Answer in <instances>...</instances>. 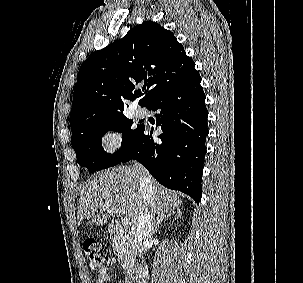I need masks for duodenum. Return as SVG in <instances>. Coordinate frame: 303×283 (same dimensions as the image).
I'll use <instances>...</instances> for the list:
<instances>
[{"label": "duodenum", "instance_id": "410a0bca", "mask_svg": "<svg viewBox=\"0 0 303 283\" xmlns=\"http://www.w3.org/2000/svg\"><path fill=\"white\" fill-rule=\"evenodd\" d=\"M110 231L112 235L118 236L121 233V225L118 222H112L110 224ZM148 276V268L146 265H142L132 276L131 283H146Z\"/></svg>", "mask_w": 303, "mask_h": 283}]
</instances>
